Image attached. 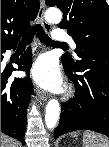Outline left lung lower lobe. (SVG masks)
I'll return each instance as SVG.
<instances>
[{
    "label": "left lung lower lobe",
    "instance_id": "1",
    "mask_svg": "<svg viewBox=\"0 0 109 147\" xmlns=\"http://www.w3.org/2000/svg\"><path fill=\"white\" fill-rule=\"evenodd\" d=\"M63 66L76 92L73 98L61 104L54 137L81 129L109 137V54L84 50L79 53L75 67L65 63Z\"/></svg>",
    "mask_w": 109,
    "mask_h": 147
}]
</instances>
